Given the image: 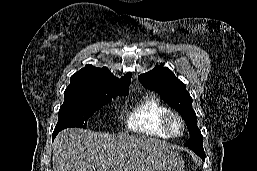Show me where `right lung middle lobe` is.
Wrapping results in <instances>:
<instances>
[{"mask_svg": "<svg viewBox=\"0 0 257 171\" xmlns=\"http://www.w3.org/2000/svg\"><path fill=\"white\" fill-rule=\"evenodd\" d=\"M118 95L127 94L99 89L66 88L64 103L60 107L55 130L61 131L70 127L86 128L87 119Z\"/></svg>", "mask_w": 257, "mask_h": 171, "instance_id": "1", "label": "right lung middle lobe"}]
</instances>
